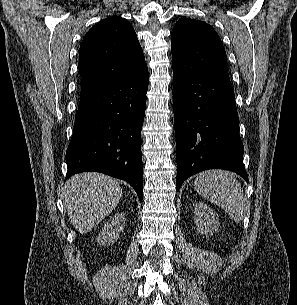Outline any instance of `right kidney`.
Wrapping results in <instances>:
<instances>
[{
	"label": "right kidney",
	"mask_w": 297,
	"mask_h": 305,
	"mask_svg": "<svg viewBox=\"0 0 297 305\" xmlns=\"http://www.w3.org/2000/svg\"><path fill=\"white\" fill-rule=\"evenodd\" d=\"M126 218L123 213H117L104 225L97 237L98 243L103 245L114 243L125 227Z\"/></svg>",
	"instance_id": "ca27d5eb"
}]
</instances>
